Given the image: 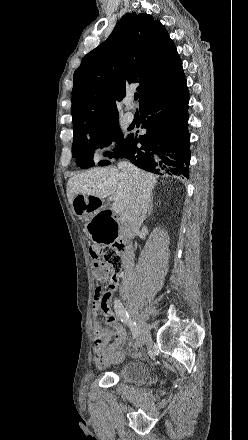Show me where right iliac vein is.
<instances>
[{
    "mask_svg": "<svg viewBox=\"0 0 248 440\" xmlns=\"http://www.w3.org/2000/svg\"><path fill=\"white\" fill-rule=\"evenodd\" d=\"M149 328L147 326V324L142 321L139 320L138 321V336H137V342H136V347H141L145 344V342L147 341V339L149 338Z\"/></svg>",
    "mask_w": 248,
    "mask_h": 440,
    "instance_id": "63e3f726",
    "label": "right iliac vein"
}]
</instances>
